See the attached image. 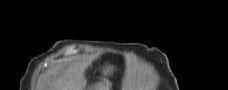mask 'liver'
I'll list each match as a JSON object with an SVG mask.
<instances>
[{"label":"liver","mask_w":228,"mask_h":90,"mask_svg":"<svg viewBox=\"0 0 228 90\" xmlns=\"http://www.w3.org/2000/svg\"><path fill=\"white\" fill-rule=\"evenodd\" d=\"M86 69V65L77 64L70 68L67 72L62 73V75L58 78L55 89L53 90H83L86 79L84 77V71ZM109 72V68L105 70V73ZM93 90H102L103 86L98 85L95 86Z\"/></svg>","instance_id":"6515ba94"}]
</instances>
